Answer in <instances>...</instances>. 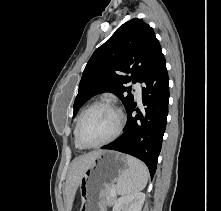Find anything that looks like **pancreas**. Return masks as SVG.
<instances>
[{"mask_svg":"<svg viewBox=\"0 0 221 211\" xmlns=\"http://www.w3.org/2000/svg\"><path fill=\"white\" fill-rule=\"evenodd\" d=\"M114 188H115V186L112 184V185L108 186L105 191L103 202L106 204V206L112 205L114 203L115 195L113 196L111 194V190Z\"/></svg>","mask_w":221,"mask_h":211,"instance_id":"cf45deb5","label":"pancreas"}]
</instances>
